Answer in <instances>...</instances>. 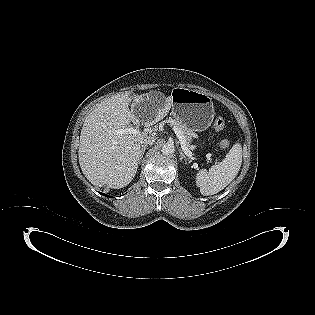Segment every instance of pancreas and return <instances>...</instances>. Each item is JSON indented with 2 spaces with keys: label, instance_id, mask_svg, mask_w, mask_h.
I'll list each match as a JSON object with an SVG mask.
<instances>
[{
  "label": "pancreas",
  "instance_id": "pancreas-1",
  "mask_svg": "<svg viewBox=\"0 0 315 315\" xmlns=\"http://www.w3.org/2000/svg\"><path fill=\"white\" fill-rule=\"evenodd\" d=\"M168 123H170L172 126L177 127L179 130L182 131L186 138L187 146H190V142L192 141V137H195V133L189 129L181 120L179 119H171L168 120Z\"/></svg>",
  "mask_w": 315,
  "mask_h": 315
}]
</instances>
